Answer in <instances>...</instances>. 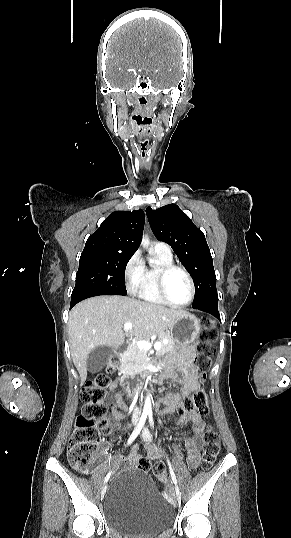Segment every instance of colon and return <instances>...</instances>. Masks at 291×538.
Masks as SVG:
<instances>
[{
    "label": "colon",
    "mask_w": 291,
    "mask_h": 538,
    "mask_svg": "<svg viewBox=\"0 0 291 538\" xmlns=\"http://www.w3.org/2000/svg\"><path fill=\"white\" fill-rule=\"evenodd\" d=\"M216 332L210 319L202 321L200 333L201 344L197 346V354L194 358V366L200 380H204L211 367V358L214 349L211 342L215 339ZM119 367V357L115 354L110 357L105 372L92 376L82 393L83 407L77 417L76 427L70 439L68 459L70 464L79 472L90 471L99 456L98 445L102 435L112 432L111 424L107 421L106 395L111 380L110 376ZM194 413L199 415L208 414V397L205 391L199 390L188 396L180 408V413ZM220 449V439L213 427H208L203 440V469L208 470L216 460ZM137 467L143 471L153 469L155 475L166 482L165 467L162 462L154 465L149 459L141 457Z\"/></svg>",
    "instance_id": "1"
}]
</instances>
